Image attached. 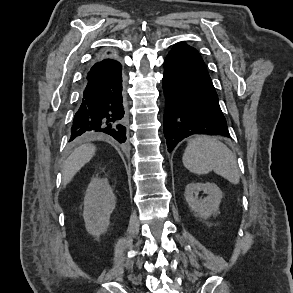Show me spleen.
Returning a JSON list of instances; mask_svg holds the SVG:
<instances>
[{"label":"spleen","instance_id":"spleen-1","mask_svg":"<svg viewBox=\"0 0 293 293\" xmlns=\"http://www.w3.org/2000/svg\"><path fill=\"white\" fill-rule=\"evenodd\" d=\"M184 166L196 174L214 171L232 184L240 181L234 153L222 142L209 136H197L190 140L182 157Z\"/></svg>","mask_w":293,"mask_h":293}]
</instances>
